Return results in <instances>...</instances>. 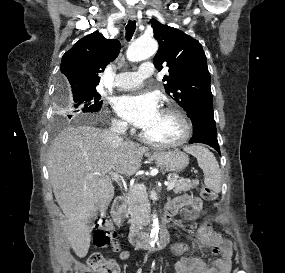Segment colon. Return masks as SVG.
Segmentation results:
<instances>
[{
    "label": "colon",
    "instance_id": "colon-1",
    "mask_svg": "<svg viewBox=\"0 0 285 273\" xmlns=\"http://www.w3.org/2000/svg\"><path fill=\"white\" fill-rule=\"evenodd\" d=\"M201 196L206 201H215L217 192L213 188L204 185L201 188ZM187 215L192 216L193 212L188 211ZM113 239L114 232L108 225L98 228L93 237L94 244L101 248L108 246ZM121 257L124 258L125 253H121ZM87 263L93 273H119L116 263L101 253L91 254Z\"/></svg>",
    "mask_w": 285,
    "mask_h": 273
}]
</instances>
